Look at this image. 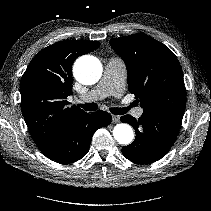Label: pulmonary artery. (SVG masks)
<instances>
[{"mask_svg": "<svg viewBox=\"0 0 211 211\" xmlns=\"http://www.w3.org/2000/svg\"><path fill=\"white\" fill-rule=\"evenodd\" d=\"M126 80V67L118 58H111L104 67V74L100 84L88 94L82 97V100H99L107 96H120L124 90ZM143 115V108L137 107L134 110V116L139 118Z\"/></svg>", "mask_w": 211, "mask_h": 211, "instance_id": "e3ab8cb5", "label": "pulmonary artery"}]
</instances>
